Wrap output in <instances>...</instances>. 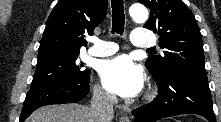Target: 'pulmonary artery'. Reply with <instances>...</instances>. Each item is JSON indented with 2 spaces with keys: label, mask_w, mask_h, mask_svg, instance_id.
<instances>
[{
  "label": "pulmonary artery",
  "mask_w": 221,
  "mask_h": 122,
  "mask_svg": "<svg viewBox=\"0 0 221 122\" xmlns=\"http://www.w3.org/2000/svg\"><path fill=\"white\" fill-rule=\"evenodd\" d=\"M92 43L93 46L88 50V53L92 56L105 57L118 51V45L112 41L92 38ZM131 43L135 47L150 48L155 45L156 41L155 38L147 32L136 29L131 34Z\"/></svg>",
  "instance_id": "e3ab8cb5"
}]
</instances>
